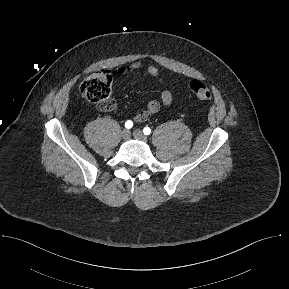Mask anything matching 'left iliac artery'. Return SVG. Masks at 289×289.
<instances>
[{
	"label": "left iliac artery",
	"mask_w": 289,
	"mask_h": 289,
	"mask_svg": "<svg viewBox=\"0 0 289 289\" xmlns=\"http://www.w3.org/2000/svg\"><path fill=\"white\" fill-rule=\"evenodd\" d=\"M143 133H144L145 135H149V134L151 133V129H150L149 127H145V128L143 129Z\"/></svg>",
	"instance_id": "44dca946"
}]
</instances>
